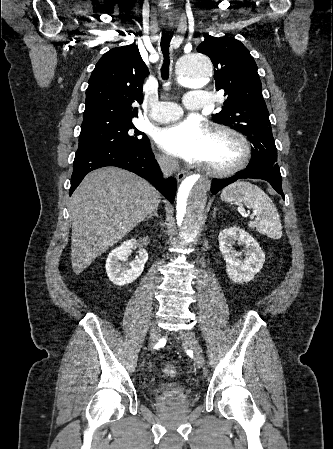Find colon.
<instances>
[{
  "instance_id": "5ec220e1",
  "label": "colon",
  "mask_w": 333,
  "mask_h": 449,
  "mask_svg": "<svg viewBox=\"0 0 333 449\" xmlns=\"http://www.w3.org/2000/svg\"><path fill=\"white\" fill-rule=\"evenodd\" d=\"M162 372L166 377L173 378L177 375V368L174 365L166 364L163 366Z\"/></svg>"
}]
</instances>
